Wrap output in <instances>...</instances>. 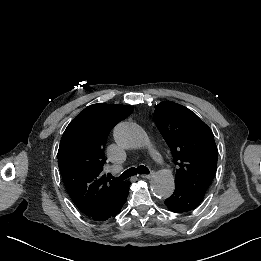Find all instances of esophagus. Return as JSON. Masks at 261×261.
<instances>
[{
  "label": "esophagus",
  "mask_w": 261,
  "mask_h": 261,
  "mask_svg": "<svg viewBox=\"0 0 261 261\" xmlns=\"http://www.w3.org/2000/svg\"><path fill=\"white\" fill-rule=\"evenodd\" d=\"M153 176V172H151V174H142L141 177L145 178V179H151Z\"/></svg>",
  "instance_id": "esophagus-1"
}]
</instances>
